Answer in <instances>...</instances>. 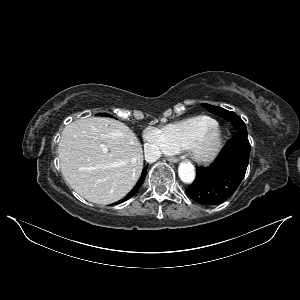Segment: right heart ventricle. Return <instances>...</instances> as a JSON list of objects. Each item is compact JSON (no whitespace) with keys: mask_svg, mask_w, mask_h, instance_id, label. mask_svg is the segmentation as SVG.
Returning a JSON list of instances; mask_svg holds the SVG:
<instances>
[{"mask_svg":"<svg viewBox=\"0 0 300 300\" xmlns=\"http://www.w3.org/2000/svg\"><path fill=\"white\" fill-rule=\"evenodd\" d=\"M217 125V121L212 117L200 115L170 123L164 126L162 131L173 151L180 152L188 150L195 138Z\"/></svg>","mask_w":300,"mask_h":300,"instance_id":"right-heart-ventricle-1","label":"right heart ventricle"}]
</instances>
